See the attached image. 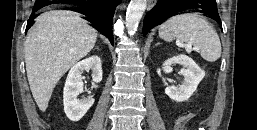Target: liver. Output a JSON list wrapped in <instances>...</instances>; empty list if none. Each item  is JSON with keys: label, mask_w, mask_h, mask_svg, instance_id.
Returning <instances> with one entry per match:
<instances>
[{"label": "liver", "mask_w": 257, "mask_h": 130, "mask_svg": "<svg viewBox=\"0 0 257 130\" xmlns=\"http://www.w3.org/2000/svg\"><path fill=\"white\" fill-rule=\"evenodd\" d=\"M97 32L78 13L53 10L35 19L25 45L27 78L44 112L60 78L94 47Z\"/></svg>", "instance_id": "6515ba94"}]
</instances>
